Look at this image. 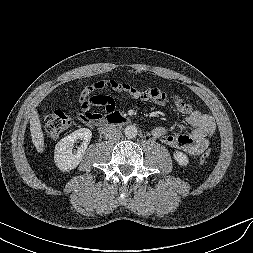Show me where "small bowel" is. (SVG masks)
I'll use <instances>...</instances> for the list:
<instances>
[{"label":"small bowel","mask_w":253,"mask_h":253,"mask_svg":"<svg viewBox=\"0 0 253 253\" xmlns=\"http://www.w3.org/2000/svg\"><path fill=\"white\" fill-rule=\"evenodd\" d=\"M109 89L120 93L132 100L152 102L166 107L172 104L178 112L186 116V122L193 128L188 134H171L167 128L157 126L152 130L154 138L165 145L179 149L191 157L203 153L209 146L210 138L216 131L214 119L193 108V106L178 96L170 98L159 88L151 87L139 90L134 86L115 79L96 81L84 87L79 98L81 112L78 119L86 126L93 127L102 122L103 115L92 111L93 107L100 108L104 113L112 115L115 112V101L109 96L97 95L96 92Z\"/></svg>","instance_id":"obj_1"}]
</instances>
